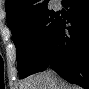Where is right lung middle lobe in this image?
Here are the masks:
<instances>
[{
	"mask_svg": "<svg viewBox=\"0 0 89 89\" xmlns=\"http://www.w3.org/2000/svg\"><path fill=\"white\" fill-rule=\"evenodd\" d=\"M60 20L55 19L48 8L42 12L22 18L11 28L16 45V58L20 78L36 73L53 33ZM43 45L39 46V41ZM41 42V43H42Z\"/></svg>",
	"mask_w": 89,
	"mask_h": 89,
	"instance_id": "1",
	"label": "right lung middle lobe"
}]
</instances>
